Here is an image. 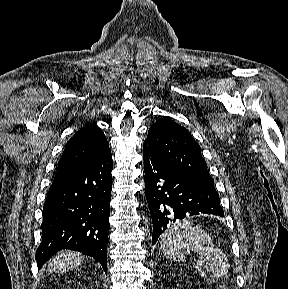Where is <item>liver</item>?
I'll list each match as a JSON object with an SVG mask.
<instances>
[{
  "label": "liver",
  "mask_w": 288,
  "mask_h": 289,
  "mask_svg": "<svg viewBox=\"0 0 288 289\" xmlns=\"http://www.w3.org/2000/svg\"><path fill=\"white\" fill-rule=\"evenodd\" d=\"M85 256L75 251H63L48 262V270L52 272H68L77 267Z\"/></svg>",
  "instance_id": "obj_1"
}]
</instances>
